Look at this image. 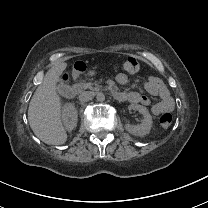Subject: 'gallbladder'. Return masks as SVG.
Masks as SVG:
<instances>
[{"label": "gallbladder", "mask_w": 208, "mask_h": 208, "mask_svg": "<svg viewBox=\"0 0 208 208\" xmlns=\"http://www.w3.org/2000/svg\"><path fill=\"white\" fill-rule=\"evenodd\" d=\"M55 91L57 94H59L60 97L62 98H67L71 94V89L69 86L64 85L60 83L59 85L56 86Z\"/></svg>", "instance_id": "1"}]
</instances>
